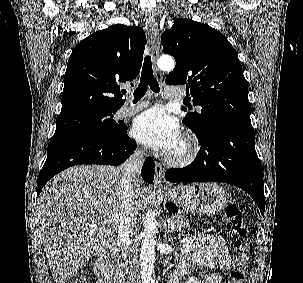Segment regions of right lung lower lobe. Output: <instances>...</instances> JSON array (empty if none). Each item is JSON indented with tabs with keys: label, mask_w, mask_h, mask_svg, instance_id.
I'll list each match as a JSON object with an SVG mask.
<instances>
[{
	"label": "right lung lower lobe",
	"mask_w": 303,
	"mask_h": 283,
	"mask_svg": "<svg viewBox=\"0 0 303 283\" xmlns=\"http://www.w3.org/2000/svg\"><path fill=\"white\" fill-rule=\"evenodd\" d=\"M126 131L112 137L81 133L53 136L48 145L47 159L38 176L37 196L54 175L68 167L79 164H122L136 149V142L128 137ZM141 175L146 182H153L154 161L151 157L146 158Z\"/></svg>",
	"instance_id": "obj_1"
}]
</instances>
